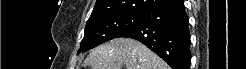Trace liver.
<instances>
[{
    "label": "liver",
    "mask_w": 246,
    "mask_h": 69,
    "mask_svg": "<svg viewBox=\"0 0 246 69\" xmlns=\"http://www.w3.org/2000/svg\"><path fill=\"white\" fill-rule=\"evenodd\" d=\"M91 69H168V65L145 45L116 38L93 49L85 60Z\"/></svg>",
    "instance_id": "obj_1"
}]
</instances>
